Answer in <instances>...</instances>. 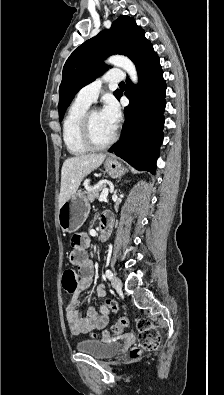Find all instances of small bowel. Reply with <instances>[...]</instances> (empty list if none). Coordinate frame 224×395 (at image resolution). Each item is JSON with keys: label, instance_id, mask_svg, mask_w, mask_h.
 <instances>
[{"label": "small bowel", "instance_id": "c3829d8e", "mask_svg": "<svg viewBox=\"0 0 224 395\" xmlns=\"http://www.w3.org/2000/svg\"><path fill=\"white\" fill-rule=\"evenodd\" d=\"M71 244L73 250L69 259L72 264L79 267L81 279L65 308V316L71 333L77 335L105 327L109 323L110 308L105 300V288L100 284L96 288V295L102 300L99 309L88 306L84 314H80L78 310L80 294L92 285L93 262L88 256L90 240L86 234L73 235Z\"/></svg>", "mask_w": 224, "mask_h": 395}]
</instances>
